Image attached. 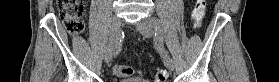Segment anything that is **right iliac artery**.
<instances>
[{
	"label": "right iliac artery",
	"mask_w": 279,
	"mask_h": 82,
	"mask_svg": "<svg viewBox=\"0 0 279 82\" xmlns=\"http://www.w3.org/2000/svg\"><path fill=\"white\" fill-rule=\"evenodd\" d=\"M118 36H119V35H118ZM121 49H122V42H121V40L118 39V40L116 41V44H115V48H114V51H113V55H114V56L118 55V54L120 53Z\"/></svg>",
	"instance_id": "82829eb1"
}]
</instances>
